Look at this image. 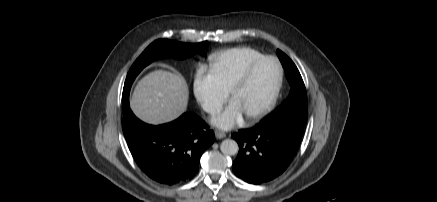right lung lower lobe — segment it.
<instances>
[{
    "label": "right lung lower lobe",
    "mask_w": 437,
    "mask_h": 202,
    "mask_svg": "<svg viewBox=\"0 0 437 202\" xmlns=\"http://www.w3.org/2000/svg\"><path fill=\"white\" fill-rule=\"evenodd\" d=\"M123 133L141 170L161 184L192 179L203 151L214 142V132L193 112L162 124L149 125L123 105Z\"/></svg>",
    "instance_id": "right-lung-lower-lobe-1"
}]
</instances>
